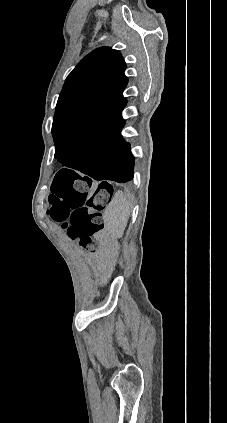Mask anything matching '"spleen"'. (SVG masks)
<instances>
[{
	"instance_id": "1",
	"label": "spleen",
	"mask_w": 227,
	"mask_h": 423,
	"mask_svg": "<svg viewBox=\"0 0 227 423\" xmlns=\"http://www.w3.org/2000/svg\"><path fill=\"white\" fill-rule=\"evenodd\" d=\"M130 213L129 202L123 192L114 194L109 206L104 211L103 219L114 237H122Z\"/></svg>"
}]
</instances>
